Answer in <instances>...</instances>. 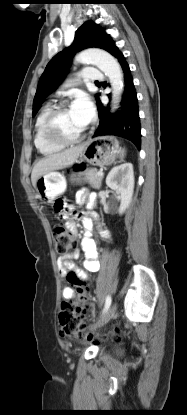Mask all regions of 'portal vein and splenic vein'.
<instances>
[{
  "mask_svg": "<svg viewBox=\"0 0 187 415\" xmlns=\"http://www.w3.org/2000/svg\"><path fill=\"white\" fill-rule=\"evenodd\" d=\"M98 175H103V172H102V171H99V172H98Z\"/></svg>",
  "mask_w": 187,
  "mask_h": 415,
  "instance_id": "obj_1",
  "label": "portal vein and splenic vein"
}]
</instances>
